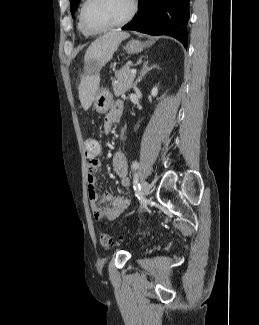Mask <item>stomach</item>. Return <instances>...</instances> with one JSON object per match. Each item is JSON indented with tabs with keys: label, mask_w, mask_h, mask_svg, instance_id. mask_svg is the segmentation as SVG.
Masks as SVG:
<instances>
[{
	"label": "stomach",
	"mask_w": 259,
	"mask_h": 325,
	"mask_svg": "<svg viewBox=\"0 0 259 325\" xmlns=\"http://www.w3.org/2000/svg\"><path fill=\"white\" fill-rule=\"evenodd\" d=\"M152 44L153 41L142 42L134 39L129 41L124 49L129 54H137L142 52L146 47H150ZM112 101L113 96L110 91L108 89L101 88L98 89L95 94L93 107L98 113L104 114L110 109Z\"/></svg>",
	"instance_id": "1"
}]
</instances>
